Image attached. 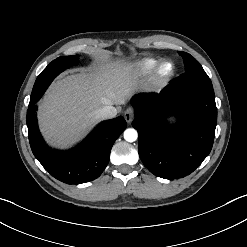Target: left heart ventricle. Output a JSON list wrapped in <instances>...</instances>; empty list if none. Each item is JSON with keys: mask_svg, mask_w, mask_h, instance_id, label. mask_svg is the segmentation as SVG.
I'll return each instance as SVG.
<instances>
[{"mask_svg": "<svg viewBox=\"0 0 247 247\" xmlns=\"http://www.w3.org/2000/svg\"><path fill=\"white\" fill-rule=\"evenodd\" d=\"M171 70V65L170 64H166L164 66V72H169Z\"/></svg>", "mask_w": 247, "mask_h": 247, "instance_id": "b2bd125f", "label": "left heart ventricle"}]
</instances>
